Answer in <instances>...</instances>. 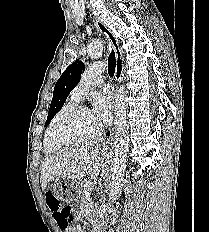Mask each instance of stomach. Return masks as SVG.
Segmentation results:
<instances>
[{
	"label": "stomach",
	"mask_w": 209,
	"mask_h": 232,
	"mask_svg": "<svg viewBox=\"0 0 209 232\" xmlns=\"http://www.w3.org/2000/svg\"><path fill=\"white\" fill-rule=\"evenodd\" d=\"M53 190L55 199L72 203V199H80L81 182L76 176H57Z\"/></svg>",
	"instance_id": "0dacf381"
}]
</instances>
